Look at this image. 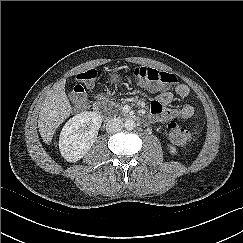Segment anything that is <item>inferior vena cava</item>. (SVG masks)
<instances>
[{
  "label": "inferior vena cava",
  "instance_id": "inferior-vena-cava-1",
  "mask_svg": "<svg viewBox=\"0 0 243 243\" xmlns=\"http://www.w3.org/2000/svg\"><path fill=\"white\" fill-rule=\"evenodd\" d=\"M124 127V124L119 118H110L105 125L106 131L110 134L119 132Z\"/></svg>",
  "mask_w": 243,
  "mask_h": 243
}]
</instances>
